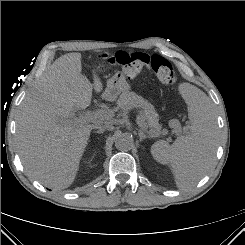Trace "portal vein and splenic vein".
<instances>
[{"instance_id":"obj_1","label":"portal vein and splenic vein","mask_w":245,"mask_h":245,"mask_svg":"<svg viewBox=\"0 0 245 245\" xmlns=\"http://www.w3.org/2000/svg\"><path fill=\"white\" fill-rule=\"evenodd\" d=\"M111 116L112 113L110 111L97 110L95 112L87 111L84 116H81L79 118L89 122H94L97 120L101 121V120L109 119ZM73 118L76 119V117ZM136 120H137V124L140 127L142 128L146 127L145 119L142 116L138 115Z\"/></svg>"}]
</instances>
